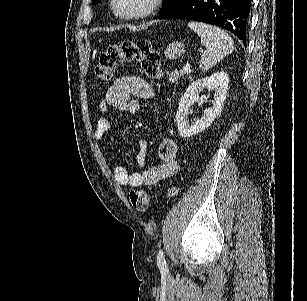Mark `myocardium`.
Here are the masks:
<instances>
[{"instance_id": "1", "label": "myocardium", "mask_w": 307, "mask_h": 301, "mask_svg": "<svg viewBox=\"0 0 307 301\" xmlns=\"http://www.w3.org/2000/svg\"><path fill=\"white\" fill-rule=\"evenodd\" d=\"M160 0H146L139 12L133 13L131 8H125L121 0H111L109 12L119 16L120 22H135L136 17H149L153 14Z\"/></svg>"}]
</instances>
